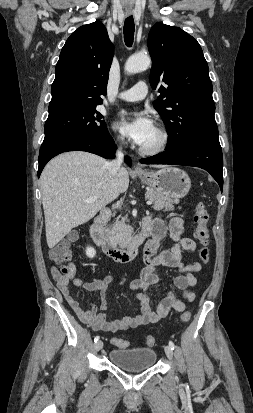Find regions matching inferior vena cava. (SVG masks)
<instances>
[{"mask_svg":"<svg viewBox=\"0 0 253 413\" xmlns=\"http://www.w3.org/2000/svg\"><path fill=\"white\" fill-rule=\"evenodd\" d=\"M123 161V152L118 149L116 152V159L108 162V169L112 176H116Z\"/></svg>","mask_w":253,"mask_h":413,"instance_id":"1","label":"inferior vena cava"}]
</instances>
